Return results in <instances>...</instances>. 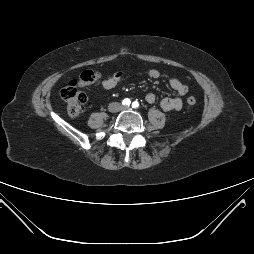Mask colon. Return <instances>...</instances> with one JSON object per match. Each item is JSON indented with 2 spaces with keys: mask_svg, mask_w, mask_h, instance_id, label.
Wrapping results in <instances>:
<instances>
[{
  "mask_svg": "<svg viewBox=\"0 0 254 254\" xmlns=\"http://www.w3.org/2000/svg\"><path fill=\"white\" fill-rule=\"evenodd\" d=\"M100 74L91 70L81 73L78 79L70 81L62 90L61 98L66 102L67 113L72 118L79 117L85 108L87 95L82 90L84 87L96 83L100 79ZM189 105H195L197 99L194 96L187 98Z\"/></svg>",
  "mask_w": 254,
  "mask_h": 254,
  "instance_id": "obj_1",
  "label": "colon"
}]
</instances>
